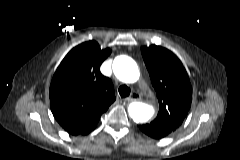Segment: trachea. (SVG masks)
<instances>
[{
	"instance_id": "1",
	"label": "trachea",
	"mask_w": 240,
	"mask_h": 160,
	"mask_svg": "<svg viewBox=\"0 0 240 160\" xmlns=\"http://www.w3.org/2000/svg\"><path fill=\"white\" fill-rule=\"evenodd\" d=\"M118 92L122 98L128 97L130 94V88L126 85H121Z\"/></svg>"
}]
</instances>
